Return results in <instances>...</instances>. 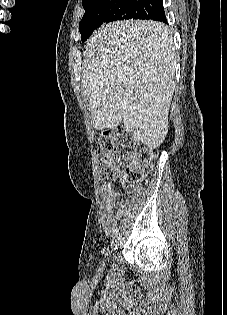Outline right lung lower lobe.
I'll list each match as a JSON object with an SVG mask.
<instances>
[{
	"instance_id": "right-lung-lower-lobe-1",
	"label": "right lung lower lobe",
	"mask_w": 227,
	"mask_h": 315,
	"mask_svg": "<svg viewBox=\"0 0 227 315\" xmlns=\"http://www.w3.org/2000/svg\"><path fill=\"white\" fill-rule=\"evenodd\" d=\"M153 20L166 22L162 0H160L159 5L155 8V11L153 13Z\"/></svg>"
}]
</instances>
